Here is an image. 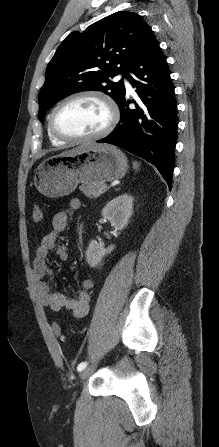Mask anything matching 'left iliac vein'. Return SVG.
<instances>
[{
	"mask_svg": "<svg viewBox=\"0 0 219 447\" xmlns=\"http://www.w3.org/2000/svg\"><path fill=\"white\" fill-rule=\"evenodd\" d=\"M94 371V367H87L85 369H83L80 373V379L81 380H86Z\"/></svg>",
	"mask_w": 219,
	"mask_h": 447,
	"instance_id": "1",
	"label": "left iliac vein"
}]
</instances>
